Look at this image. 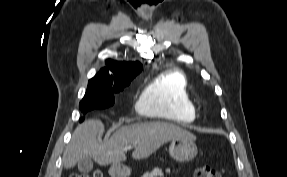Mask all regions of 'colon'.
Masks as SVG:
<instances>
[{"mask_svg": "<svg viewBox=\"0 0 287 177\" xmlns=\"http://www.w3.org/2000/svg\"><path fill=\"white\" fill-rule=\"evenodd\" d=\"M69 177H103L100 171L85 174H72ZM193 177H221V173L209 166H199L193 172Z\"/></svg>", "mask_w": 287, "mask_h": 177, "instance_id": "colon-1", "label": "colon"}]
</instances>
